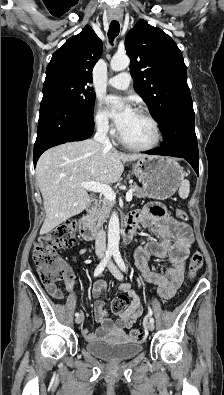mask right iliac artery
<instances>
[{"label":"right iliac artery","instance_id":"82829eb1","mask_svg":"<svg viewBox=\"0 0 224 395\" xmlns=\"http://www.w3.org/2000/svg\"><path fill=\"white\" fill-rule=\"evenodd\" d=\"M113 252L112 251H106L105 257L103 258V260L99 263V265L96 267L95 271H94V277L99 276L105 269L108 261L110 260L111 256H112ZM80 314L78 312L75 313V316L78 317Z\"/></svg>","mask_w":224,"mask_h":395}]
</instances>
